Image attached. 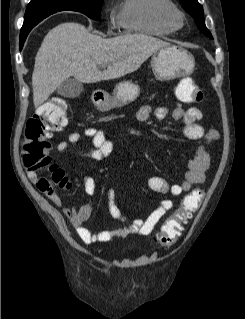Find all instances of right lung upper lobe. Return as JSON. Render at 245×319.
I'll list each match as a JSON object with an SVG mask.
<instances>
[{
    "instance_id": "right-lung-upper-lobe-1",
    "label": "right lung upper lobe",
    "mask_w": 245,
    "mask_h": 319,
    "mask_svg": "<svg viewBox=\"0 0 245 319\" xmlns=\"http://www.w3.org/2000/svg\"><path fill=\"white\" fill-rule=\"evenodd\" d=\"M31 1H33V2L47 1V2H51L53 4V6H51V7H37L33 11H31L30 13H26V15L24 17L25 25H24V28L22 26V29H21L22 31L31 29L36 24H38L40 21H42L44 18H46L47 16H49L55 12L64 10L60 7H55L54 4L57 2H63L65 0H31Z\"/></svg>"
}]
</instances>
